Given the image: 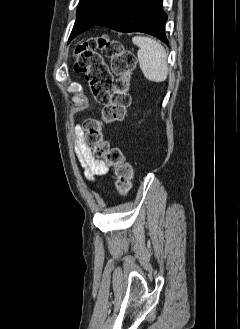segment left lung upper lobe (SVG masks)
<instances>
[{"label":"left lung upper lobe","instance_id":"obj_1","mask_svg":"<svg viewBox=\"0 0 240 329\" xmlns=\"http://www.w3.org/2000/svg\"><path fill=\"white\" fill-rule=\"evenodd\" d=\"M121 0H80L77 19L69 37V42L78 34L98 23Z\"/></svg>","mask_w":240,"mask_h":329}]
</instances>
